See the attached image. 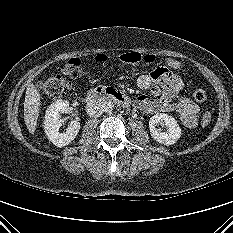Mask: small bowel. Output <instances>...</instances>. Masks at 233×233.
Masks as SVG:
<instances>
[{
	"label": "small bowel",
	"mask_w": 233,
	"mask_h": 233,
	"mask_svg": "<svg viewBox=\"0 0 233 233\" xmlns=\"http://www.w3.org/2000/svg\"><path fill=\"white\" fill-rule=\"evenodd\" d=\"M137 84L139 88L146 90L151 85L157 84L162 88V96L159 98L139 95L135 105L146 113H167L176 112L180 116L183 125L187 128H194L197 125L199 113L198 104L189 98L176 100L184 84L182 79L170 72L165 67H158L150 74L141 75Z\"/></svg>",
	"instance_id": "c3829d8e"
}]
</instances>
